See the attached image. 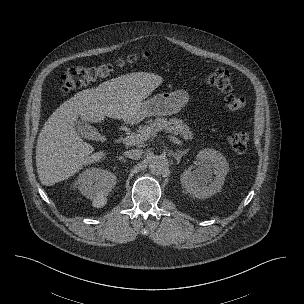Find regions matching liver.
<instances>
[{
	"label": "liver",
	"instance_id": "6515ba94",
	"mask_svg": "<svg viewBox=\"0 0 304 304\" xmlns=\"http://www.w3.org/2000/svg\"><path fill=\"white\" fill-rule=\"evenodd\" d=\"M162 83L163 78L154 73L134 72L80 91L62 103L37 139L36 167L41 183L52 186L103 158L104 153H93L94 147L76 131L78 119L101 123L107 116L136 121L141 102Z\"/></svg>",
	"mask_w": 304,
	"mask_h": 304
}]
</instances>
